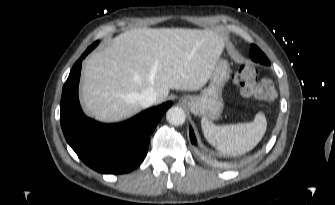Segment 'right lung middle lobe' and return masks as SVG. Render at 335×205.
I'll use <instances>...</instances> for the list:
<instances>
[{"mask_svg":"<svg viewBox=\"0 0 335 205\" xmlns=\"http://www.w3.org/2000/svg\"><path fill=\"white\" fill-rule=\"evenodd\" d=\"M98 43H99L98 41L95 42L93 45L90 46V49H91V50L94 49V48L98 45Z\"/></svg>","mask_w":335,"mask_h":205,"instance_id":"obj_1","label":"right lung middle lobe"}]
</instances>
